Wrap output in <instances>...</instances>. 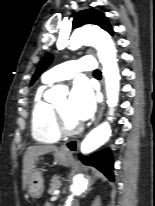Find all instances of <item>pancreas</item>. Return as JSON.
Listing matches in <instances>:
<instances>
[{"label":"pancreas","mask_w":155,"mask_h":206,"mask_svg":"<svg viewBox=\"0 0 155 206\" xmlns=\"http://www.w3.org/2000/svg\"><path fill=\"white\" fill-rule=\"evenodd\" d=\"M61 185L60 177L55 175L51 179L49 193H53Z\"/></svg>","instance_id":"obj_1"}]
</instances>
